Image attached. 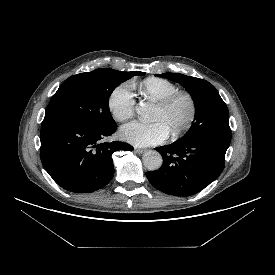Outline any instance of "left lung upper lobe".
I'll list each match as a JSON object with an SVG mask.
<instances>
[{
	"instance_id": "1",
	"label": "left lung upper lobe",
	"mask_w": 275,
	"mask_h": 275,
	"mask_svg": "<svg viewBox=\"0 0 275 275\" xmlns=\"http://www.w3.org/2000/svg\"><path fill=\"white\" fill-rule=\"evenodd\" d=\"M156 75L181 84L194 99V122L179 140L200 139L230 143L228 108L212 84L206 80L179 73Z\"/></svg>"
}]
</instances>
